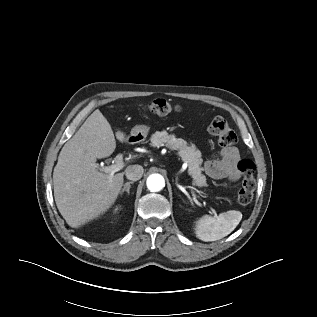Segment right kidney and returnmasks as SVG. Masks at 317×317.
<instances>
[{
  "label": "right kidney",
  "mask_w": 317,
  "mask_h": 317,
  "mask_svg": "<svg viewBox=\"0 0 317 317\" xmlns=\"http://www.w3.org/2000/svg\"><path fill=\"white\" fill-rule=\"evenodd\" d=\"M118 208L115 209V213L117 212Z\"/></svg>",
  "instance_id": "right-kidney-1"
}]
</instances>
